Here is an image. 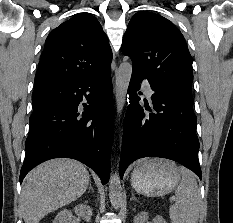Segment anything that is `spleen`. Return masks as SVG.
<instances>
[{"instance_id":"1","label":"spleen","mask_w":233,"mask_h":223,"mask_svg":"<svg viewBox=\"0 0 233 223\" xmlns=\"http://www.w3.org/2000/svg\"><path fill=\"white\" fill-rule=\"evenodd\" d=\"M182 181L175 189L174 205L169 207L172 223H198L201 195L197 181L189 169L181 167Z\"/></svg>"}]
</instances>
